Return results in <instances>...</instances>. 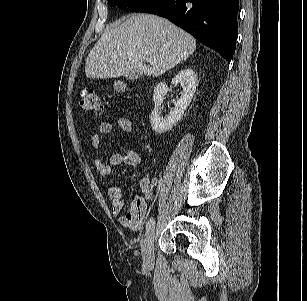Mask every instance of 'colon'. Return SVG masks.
Returning <instances> with one entry per match:
<instances>
[{
    "label": "colon",
    "mask_w": 307,
    "mask_h": 301,
    "mask_svg": "<svg viewBox=\"0 0 307 301\" xmlns=\"http://www.w3.org/2000/svg\"><path fill=\"white\" fill-rule=\"evenodd\" d=\"M80 106L84 111L101 115L103 105L99 95L91 89H82L79 93Z\"/></svg>",
    "instance_id": "1"
}]
</instances>
